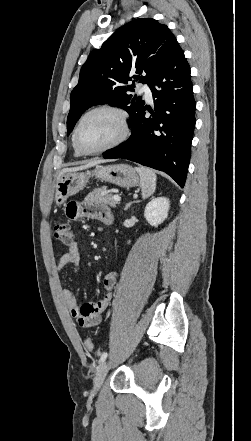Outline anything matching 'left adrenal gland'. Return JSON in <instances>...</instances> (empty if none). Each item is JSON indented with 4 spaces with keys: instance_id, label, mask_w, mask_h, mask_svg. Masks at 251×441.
Segmentation results:
<instances>
[{
    "instance_id": "left-adrenal-gland-1",
    "label": "left adrenal gland",
    "mask_w": 251,
    "mask_h": 441,
    "mask_svg": "<svg viewBox=\"0 0 251 441\" xmlns=\"http://www.w3.org/2000/svg\"><path fill=\"white\" fill-rule=\"evenodd\" d=\"M135 202H137V201L129 202L128 204H126L124 210H125V211L128 210V209L130 208V206H131L133 203H135Z\"/></svg>"
}]
</instances>
